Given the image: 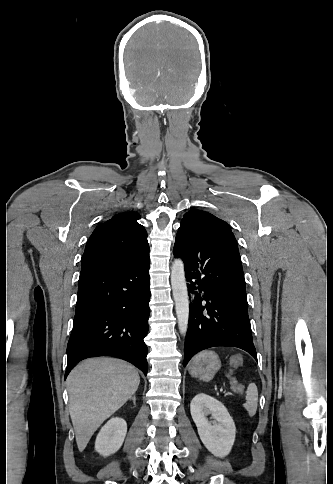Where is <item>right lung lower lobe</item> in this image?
Segmentation results:
<instances>
[{
  "label": "right lung lower lobe",
  "instance_id": "1",
  "mask_svg": "<svg viewBox=\"0 0 333 484\" xmlns=\"http://www.w3.org/2000/svg\"><path fill=\"white\" fill-rule=\"evenodd\" d=\"M149 264L148 254L128 264L81 270L65 377L79 361L97 356L122 358L147 374Z\"/></svg>",
  "mask_w": 333,
  "mask_h": 484
}]
</instances>
